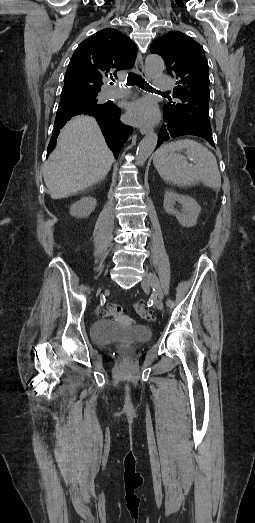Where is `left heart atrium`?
<instances>
[{"label": "left heart atrium", "mask_w": 255, "mask_h": 523, "mask_svg": "<svg viewBox=\"0 0 255 523\" xmlns=\"http://www.w3.org/2000/svg\"><path fill=\"white\" fill-rule=\"evenodd\" d=\"M127 116L137 123H153L158 119L159 112L151 99L143 98L128 105Z\"/></svg>", "instance_id": "1"}]
</instances>
